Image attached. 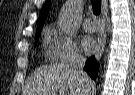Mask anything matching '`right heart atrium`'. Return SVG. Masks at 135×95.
<instances>
[{
	"label": "right heart atrium",
	"mask_w": 135,
	"mask_h": 95,
	"mask_svg": "<svg viewBox=\"0 0 135 95\" xmlns=\"http://www.w3.org/2000/svg\"><path fill=\"white\" fill-rule=\"evenodd\" d=\"M49 55L56 62H66L71 59L82 58L76 41L64 32L56 29L50 42Z\"/></svg>",
	"instance_id": "d8ad5b80"
}]
</instances>
